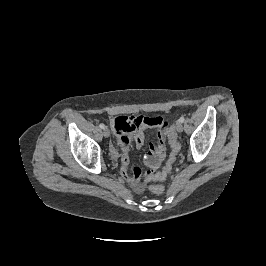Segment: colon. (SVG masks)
I'll use <instances>...</instances> for the list:
<instances>
[{"label": "colon", "mask_w": 266, "mask_h": 266, "mask_svg": "<svg viewBox=\"0 0 266 266\" xmlns=\"http://www.w3.org/2000/svg\"><path fill=\"white\" fill-rule=\"evenodd\" d=\"M167 139L171 147V153L167 159V162L160 172H147V181H162L166 179V177L172 170L173 164L175 163L177 156L180 152V144L177 141L176 135L172 129L168 130ZM150 190L153 193L160 195L164 192V186L161 184H153L150 186Z\"/></svg>", "instance_id": "colon-1"}]
</instances>
